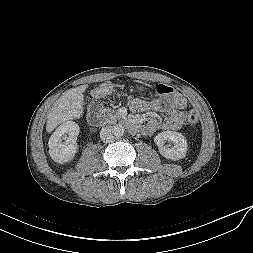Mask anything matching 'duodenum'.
Instances as JSON below:
<instances>
[{
    "instance_id": "1",
    "label": "duodenum",
    "mask_w": 253,
    "mask_h": 253,
    "mask_svg": "<svg viewBox=\"0 0 253 253\" xmlns=\"http://www.w3.org/2000/svg\"><path fill=\"white\" fill-rule=\"evenodd\" d=\"M88 122L95 127L103 123L102 108L99 103L94 102L90 105L88 110ZM125 124L132 132H136L139 129V125L134 121L126 120Z\"/></svg>"
}]
</instances>
